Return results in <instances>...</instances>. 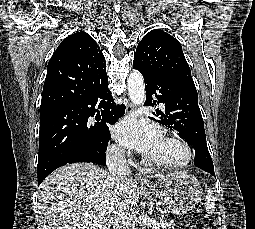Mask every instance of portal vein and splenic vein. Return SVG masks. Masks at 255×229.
I'll return each instance as SVG.
<instances>
[{
	"label": "portal vein and splenic vein",
	"instance_id": "portal-vein-and-splenic-vein-1",
	"mask_svg": "<svg viewBox=\"0 0 255 229\" xmlns=\"http://www.w3.org/2000/svg\"><path fill=\"white\" fill-rule=\"evenodd\" d=\"M163 222H164V221H163V220H161V221H160V224H163Z\"/></svg>",
	"mask_w": 255,
	"mask_h": 229
}]
</instances>
